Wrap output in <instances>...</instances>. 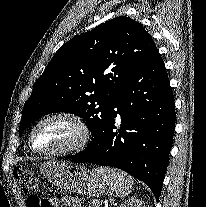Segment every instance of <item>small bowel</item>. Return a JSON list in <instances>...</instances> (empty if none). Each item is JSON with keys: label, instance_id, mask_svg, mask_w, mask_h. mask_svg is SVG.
Listing matches in <instances>:
<instances>
[{"label": "small bowel", "instance_id": "small-bowel-1", "mask_svg": "<svg viewBox=\"0 0 206 207\" xmlns=\"http://www.w3.org/2000/svg\"><path fill=\"white\" fill-rule=\"evenodd\" d=\"M52 207H81L79 201L73 197H54L51 199Z\"/></svg>", "mask_w": 206, "mask_h": 207}]
</instances>
